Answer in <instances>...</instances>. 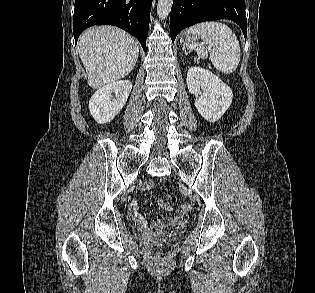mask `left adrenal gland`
I'll return each mask as SVG.
<instances>
[{
    "instance_id": "left-adrenal-gland-1",
    "label": "left adrenal gland",
    "mask_w": 315,
    "mask_h": 293,
    "mask_svg": "<svg viewBox=\"0 0 315 293\" xmlns=\"http://www.w3.org/2000/svg\"><path fill=\"white\" fill-rule=\"evenodd\" d=\"M183 53H184L185 55H187V53H186V52H184V51H183Z\"/></svg>"
}]
</instances>
